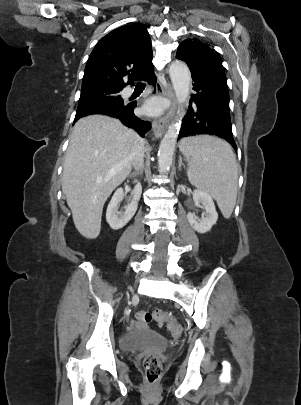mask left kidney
<instances>
[{
    "instance_id": "obj_1",
    "label": "left kidney",
    "mask_w": 301,
    "mask_h": 405,
    "mask_svg": "<svg viewBox=\"0 0 301 405\" xmlns=\"http://www.w3.org/2000/svg\"><path fill=\"white\" fill-rule=\"evenodd\" d=\"M193 200L196 204L202 205L205 213L201 219H197L194 213L189 212L187 214L188 221L195 231L201 234L206 233L218 219L215 204L210 194L199 189L194 190Z\"/></svg>"
}]
</instances>
